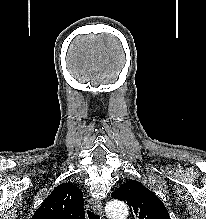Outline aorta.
Wrapping results in <instances>:
<instances>
[{"mask_svg":"<svg viewBox=\"0 0 206 219\" xmlns=\"http://www.w3.org/2000/svg\"><path fill=\"white\" fill-rule=\"evenodd\" d=\"M106 212L111 219H126L128 216V207L123 201L113 200L106 206Z\"/></svg>","mask_w":206,"mask_h":219,"instance_id":"aorta-1","label":"aorta"}]
</instances>
